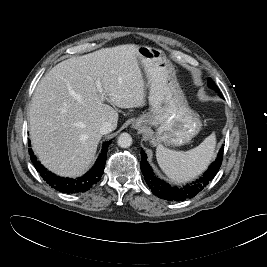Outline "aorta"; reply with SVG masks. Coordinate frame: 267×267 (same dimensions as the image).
Listing matches in <instances>:
<instances>
[{
	"instance_id": "762f6f07",
	"label": "aorta",
	"mask_w": 267,
	"mask_h": 267,
	"mask_svg": "<svg viewBox=\"0 0 267 267\" xmlns=\"http://www.w3.org/2000/svg\"><path fill=\"white\" fill-rule=\"evenodd\" d=\"M117 143L121 148H128L132 144V137L128 133H122L118 137Z\"/></svg>"
}]
</instances>
